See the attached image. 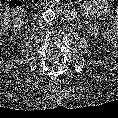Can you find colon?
<instances>
[{
	"label": "colon",
	"instance_id": "obj_1",
	"mask_svg": "<svg viewBox=\"0 0 118 118\" xmlns=\"http://www.w3.org/2000/svg\"><path fill=\"white\" fill-rule=\"evenodd\" d=\"M22 4L18 0H13L6 9L4 14V24L7 27H15L22 18Z\"/></svg>",
	"mask_w": 118,
	"mask_h": 118
}]
</instances>
